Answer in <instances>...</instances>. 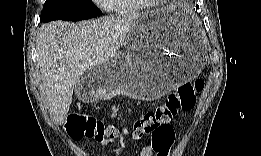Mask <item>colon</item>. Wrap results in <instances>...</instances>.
<instances>
[{
  "label": "colon",
  "mask_w": 261,
  "mask_h": 156,
  "mask_svg": "<svg viewBox=\"0 0 261 156\" xmlns=\"http://www.w3.org/2000/svg\"><path fill=\"white\" fill-rule=\"evenodd\" d=\"M204 85L202 79L183 84L178 91L170 93L164 103L157 105L135 120L129 131L78 113H74V119L68 121L66 130L72 137L78 139L94 138L99 143L114 142L127 133L134 140L151 135L154 148L159 155L163 156L174 141L171 123L181 112L191 110L194 107L196 97L201 93Z\"/></svg>",
  "instance_id": "5ec220e1"
}]
</instances>
